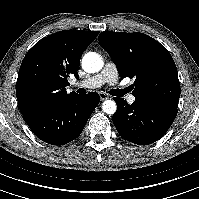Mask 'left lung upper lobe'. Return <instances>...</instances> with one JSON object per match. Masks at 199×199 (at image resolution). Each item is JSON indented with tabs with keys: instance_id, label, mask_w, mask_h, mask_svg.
<instances>
[{
	"instance_id": "obj_1",
	"label": "left lung upper lobe",
	"mask_w": 199,
	"mask_h": 199,
	"mask_svg": "<svg viewBox=\"0 0 199 199\" xmlns=\"http://www.w3.org/2000/svg\"><path fill=\"white\" fill-rule=\"evenodd\" d=\"M98 38L120 76L135 79L132 94L136 98L177 109V68L163 45L142 33L104 31Z\"/></svg>"
}]
</instances>
